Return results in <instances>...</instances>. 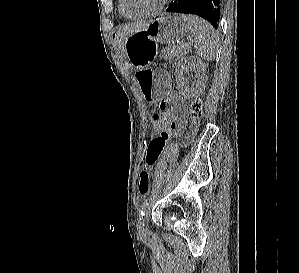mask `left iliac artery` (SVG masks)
<instances>
[{"instance_id": "left-iliac-artery-1", "label": "left iliac artery", "mask_w": 299, "mask_h": 273, "mask_svg": "<svg viewBox=\"0 0 299 273\" xmlns=\"http://www.w3.org/2000/svg\"><path fill=\"white\" fill-rule=\"evenodd\" d=\"M148 202H149V199L144 200V202L141 204V206L139 208V215L141 217H143L145 214L146 208L148 206Z\"/></svg>"}]
</instances>
